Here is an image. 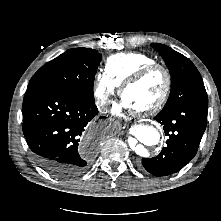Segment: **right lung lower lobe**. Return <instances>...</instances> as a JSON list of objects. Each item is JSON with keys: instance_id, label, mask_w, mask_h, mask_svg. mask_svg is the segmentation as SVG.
Instances as JSON below:
<instances>
[{"instance_id": "98d812e1", "label": "right lung lower lobe", "mask_w": 221, "mask_h": 221, "mask_svg": "<svg viewBox=\"0 0 221 221\" xmlns=\"http://www.w3.org/2000/svg\"><path fill=\"white\" fill-rule=\"evenodd\" d=\"M94 102L44 85L28 87L22 129L37 163L60 179L82 174L92 161L97 136L83 147L81 135L98 119Z\"/></svg>"}]
</instances>
